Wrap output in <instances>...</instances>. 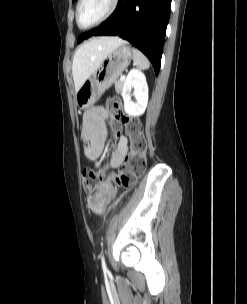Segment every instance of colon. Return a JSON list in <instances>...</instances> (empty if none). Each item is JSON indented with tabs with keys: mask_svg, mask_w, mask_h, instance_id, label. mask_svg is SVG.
I'll use <instances>...</instances> for the list:
<instances>
[{
	"mask_svg": "<svg viewBox=\"0 0 247 304\" xmlns=\"http://www.w3.org/2000/svg\"><path fill=\"white\" fill-rule=\"evenodd\" d=\"M111 104L118 111L110 122L111 132L116 134L123 125L130 137L131 150L119 172L113 176L112 180L103 182L97 192L88 198V204L95 213L104 211L116 187L129 188L135 185L146 167V141L141 123L136 119L122 115L119 111V102L116 99L112 98ZM101 179V169H84L82 173L84 190L89 193L93 192L100 185Z\"/></svg>",
	"mask_w": 247,
	"mask_h": 304,
	"instance_id": "obj_1",
	"label": "colon"
}]
</instances>
